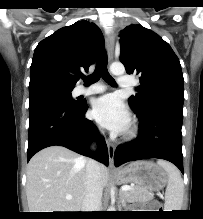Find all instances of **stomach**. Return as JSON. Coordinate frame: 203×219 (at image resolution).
<instances>
[{"label":"stomach","instance_id":"0dacf381","mask_svg":"<svg viewBox=\"0 0 203 219\" xmlns=\"http://www.w3.org/2000/svg\"><path fill=\"white\" fill-rule=\"evenodd\" d=\"M120 183H135L148 191H159L168 183V174L158 164L150 161H136L121 168L117 172Z\"/></svg>","mask_w":203,"mask_h":219}]
</instances>
